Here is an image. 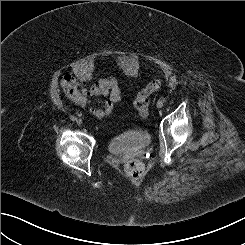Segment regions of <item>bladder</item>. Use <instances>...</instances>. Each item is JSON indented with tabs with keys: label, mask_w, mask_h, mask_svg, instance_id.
Listing matches in <instances>:
<instances>
[{
	"label": "bladder",
	"mask_w": 245,
	"mask_h": 245,
	"mask_svg": "<svg viewBox=\"0 0 245 245\" xmlns=\"http://www.w3.org/2000/svg\"><path fill=\"white\" fill-rule=\"evenodd\" d=\"M149 141L150 137L143 128H129L110 137L109 150L115 155H131L144 150Z\"/></svg>",
	"instance_id": "obj_1"
}]
</instances>
